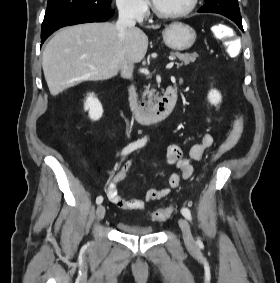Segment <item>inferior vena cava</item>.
Wrapping results in <instances>:
<instances>
[{"instance_id":"1","label":"inferior vena cava","mask_w":280,"mask_h":283,"mask_svg":"<svg viewBox=\"0 0 280 283\" xmlns=\"http://www.w3.org/2000/svg\"><path fill=\"white\" fill-rule=\"evenodd\" d=\"M119 17L116 23V30L120 42L125 39L128 28L134 27L136 21L134 19V11L128 4L119 5ZM120 63L122 75L127 79H132L134 64L124 62L123 54L120 53Z\"/></svg>"}]
</instances>
